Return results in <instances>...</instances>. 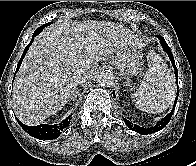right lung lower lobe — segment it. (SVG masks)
<instances>
[{"mask_svg": "<svg viewBox=\"0 0 196 166\" xmlns=\"http://www.w3.org/2000/svg\"><path fill=\"white\" fill-rule=\"evenodd\" d=\"M42 30L40 29H37L33 36H32V40L31 42L26 46V48L24 49V52L18 62V65H17V69H16V72L18 71L23 59H24V56L28 50V48L30 47V45L32 44L33 40H34V37L37 36ZM15 72V73H16ZM17 119V118H16ZM70 120H71V117H67L64 121H62L61 123L59 124H54V125H47V124H42V125H37V126H27V125H24L23 123H21L18 119V123L19 125L29 134L31 135L32 137H35V138H39V139H44V140H52V139H56L59 137V135L63 132V130L65 128H67L70 124Z\"/></svg>", "mask_w": 196, "mask_h": 166, "instance_id": "98d812e1", "label": "right lung lower lobe"}]
</instances>
